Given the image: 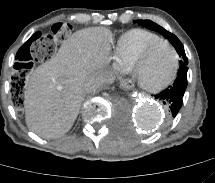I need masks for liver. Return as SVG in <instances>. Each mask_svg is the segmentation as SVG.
<instances>
[{
    "label": "liver",
    "instance_id": "obj_1",
    "mask_svg": "<svg viewBox=\"0 0 215 183\" xmlns=\"http://www.w3.org/2000/svg\"><path fill=\"white\" fill-rule=\"evenodd\" d=\"M112 40L106 28L76 31L26 79L25 119L32 132L56 138L71 129L86 94L83 84L106 75Z\"/></svg>",
    "mask_w": 215,
    "mask_h": 183
}]
</instances>
